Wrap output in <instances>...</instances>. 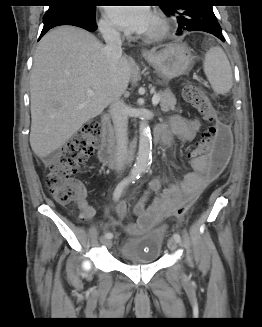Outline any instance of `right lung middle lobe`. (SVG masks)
I'll return each mask as SVG.
<instances>
[{"mask_svg": "<svg viewBox=\"0 0 262 327\" xmlns=\"http://www.w3.org/2000/svg\"><path fill=\"white\" fill-rule=\"evenodd\" d=\"M62 1L63 4L58 5V6H50V8H68V9H74L86 14H95L96 13V6L93 4H86V5H77L74 4V0H59Z\"/></svg>", "mask_w": 262, "mask_h": 327, "instance_id": "1", "label": "right lung middle lobe"}]
</instances>
